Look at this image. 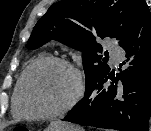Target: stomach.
Masks as SVG:
<instances>
[{"instance_id": "stomach-1", "label": "stomach", "mask_w": 151, "mask_h": 131, "mask_svg": "<svg viewBox=\"0 0 151 131\" xmlns=\"http://www.w3.org/2000/svg\"><path fill=\"white\" fill-rule=\"evenodd\" d=\"M45 131H83V129L77 125L57 120L51 122Z\"/></svg>"}]
</instances>
